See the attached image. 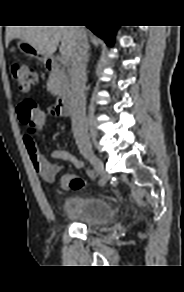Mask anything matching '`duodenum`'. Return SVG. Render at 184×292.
Returning <instances> with one entry per match:
<instances>
[{
    "label": "duodenum",
    "mask_w": 184,
    "mask_h": 292,
    "mask_svg": "<svg viewBox=\"0 0 184 292\" xmlns=\"http://www.w3.org/2000/svg\"><path fill=\"white\" fill-rule=\"evenodd\" d=\"M47 69L56 74L58 79L65 83L69 75L60 70L59 62L55 58H50L47 62ZM78 103V94L72 87H64L55 102L54 110L63 117L71 116Z\"/></svg>",
    "instance_id": "1"
}]
</instances>
